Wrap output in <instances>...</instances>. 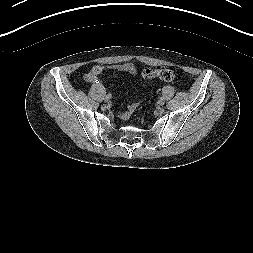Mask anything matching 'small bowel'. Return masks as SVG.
Instances as JSON below:
<instances>
[{"label": "small bowel", "instance_id": "obj_1", "mask_svg": "<svg viewBox=\"0 0 253 253\" xmlns=\"http://www.w3.org/2000/svg\"><path fill=\"white\" fill-rule=\"evenodd\" d=\"M127 68H128L129 71L132 72V73H135V72H136V70H135V68H134L133 65H129ZM99 70H100L99 67L94 68V69L87 75V77H86L87 80L90 81V82L95 81V80H96V76H97L98 73H99Z\"/></svg>", "mask_w": 253, "mask_h": 253}]
</instances>
